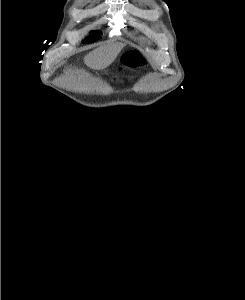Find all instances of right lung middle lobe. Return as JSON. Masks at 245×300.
<instances>
[{
    "mask_svg": "<svg viewBox=\"0 0 245 300\" xmlns=\"http://www.w3.org/2000/svg\"><path fill=\"white\" fill-rule=\"evenodd\" d=\"M99 36V32H92L91 36L86 38L83 43H87V42H93L96 40V38Z\"/></svg>",
    "mask_w": 245,
    "mask_h": 300,
    "instance_id": "obj_1",
    "label": "right lung middle lobe"
}]
</instances>
